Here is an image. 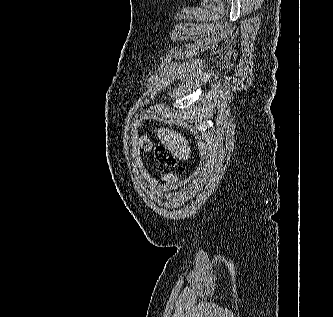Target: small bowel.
I'll return each mask as SVG.
<instances>
[{"mask_svg":"<svg viewBox=\"0 0 333 317\" xmlns=\"http://www.w3.org/2000/svg\"><path fill=\"white\" fill-rule=\"evenodd\" d=\"M148 146L147 138L143 135L138 136L134 139L132 144V151L131 155L133 158V161L135 163V166L138 168L140 173L143 176H146V170L144 166V162L142 159V151L145 150ZM164 191H169L175 188V181L171 177H166L164 180L163 185Z\"/></svg>","mask_w":333,"mask_h":317,"instance_id":"small-bowel-1","label":"small bowel"}]
</instances>
